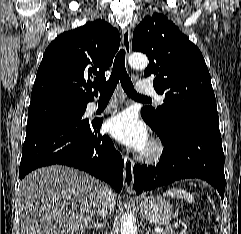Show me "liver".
I'll use <instances>...</instances> for the list:
<instances>
[{
    "label": "liver",
    "mask_w": 241,
    "mask_h": 234,
    "mask_svg": "<svg viewBox=\"0 0 241 234\" xmlns=\"http://www.w3.org/2000/svg\"><path fill=\"white\" fill-rule=\"evenodd\" d=\"M104 185L76 169L53 165L21 182V234H85L98 213Z\"/></svg>",
    "instance_id": "obj_1"
}]
</instances>
